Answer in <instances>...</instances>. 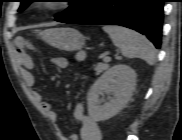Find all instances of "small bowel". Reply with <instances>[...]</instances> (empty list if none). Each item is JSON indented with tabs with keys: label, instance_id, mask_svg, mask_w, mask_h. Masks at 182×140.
I'll return each mask as SVG.
<instances>
[{
	"label": "small bowel",
	"instance_id": "c3829d8e",
	"mask_svg": "<svg viewBox=\"0 0 182 140\" xmlns=\"http://www.w3.org/2000/svg\"><path fill=\"white\" fill-rule=\"evenodd\" d=\"M18 49L16 52V60L20 68L22 69V75L27 86L33 87L35 84V78L31 73L34 69L35 63L33 58L23 49L24 41L19 40L17 42ZM51 62L58 68H66L68 66V59L65 57H55L51 59ZM34 99L39 103L41 111L51 121L55 122L57 114L52 108V104L49 101H45L42 98V94L39 91L33 92ZM73 116L79 127V135L73 134L68 140H77L78 136L81 140H101L100 128L95 120L86 114L84 105L77 103L74 107Z\"/></svg>",
	"mask_w": 182,
	"mask_h": 140
}]
</instances>
